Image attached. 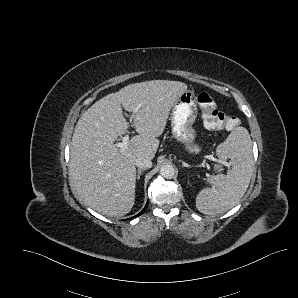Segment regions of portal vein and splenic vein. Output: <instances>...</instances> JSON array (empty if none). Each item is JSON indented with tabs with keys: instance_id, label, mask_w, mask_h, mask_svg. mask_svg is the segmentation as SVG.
I'll return each instance as SVG.
<instances>
[{
	"instance_id": "obj_1",
	"label": "portal vein and splenic vein",
	"mask_w": 298,
	"mask_h": 298,
	"mask_svg": "<svg viewBox=\"0 0 298 298\" xmlns=\"http://www.w3.org/2000/svg\"><path fill=\"white\" fill-rule=\"evenodd\" d=\"M129 145H130L129 137L128 136L123 137L122 141L117 144V147H119V152L123 154L126 151V149L129 147ZM203 158L208 160H213V161L215 160V158L212 155H203Z\"/></svg>"
}]
</instances>
